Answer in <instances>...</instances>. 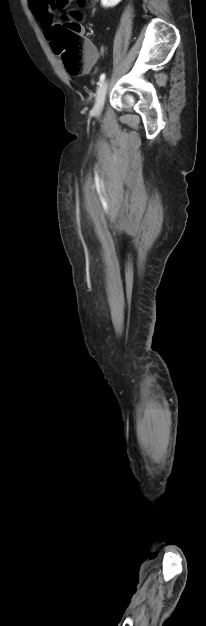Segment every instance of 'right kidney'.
Listing matches in <instances>:
<instances>
[{
    "instance_id": "1",
    "label": "right kidney",
    "mask_w": 206,
    "mask_h": 626,
    "mask_svg": "<svg viewBox=\"0 0 206 626\" xmlns=\"http://www.w3.org/2000/svg\"><path fill=\"white\" fill-rule=\"evenodd\" d=\"M122 0H101V5L104 8H108V7H114L116 6L119 2H121Z\"/></svg>"
}]
</instances>
